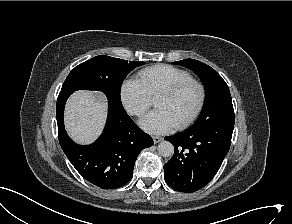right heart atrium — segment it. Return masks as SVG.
Here are the masks:
<instances>
[{
  "label": "right heart atrium",
  "mask_w": 292,
  "mask_h": 224,
  "mask_svg": "<svg viewBox=\"0 0 292 224\" xmlns=\"http://www.w3.org/2000/svg\"><path fill=\"white\" fill-rule=\"evenodd\" d=\"M120 99L132 116H141L152 104V98L138 79L125 80L120 88Z\"/></svg>",
  "instance_id": "d8ad5b80"
}]
</instances>
